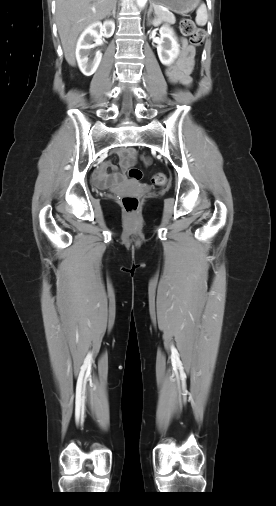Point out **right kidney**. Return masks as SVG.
Here are the masks:
<instances>
[{
	"mask_svg": "<svg viewBox=\"0 0 276 506\" xmlns=\"http://www.w3.org/2000/svg\"><path fill=\"white\" fill-rule=\"evenodd\" d=\"M115 30L113 21L95 22L89 25L80 35L76 46V59L81 72L90 76L94 74L101 62L102 53L97 51L94 58H89L90 50L102 36L111 37Z\"/></svg>",
	"mask_w": 276,
	"mask_h": 506,
	"instance_id": "right-kidney-1",
	"label": "right kidney"
}]
</instances>
